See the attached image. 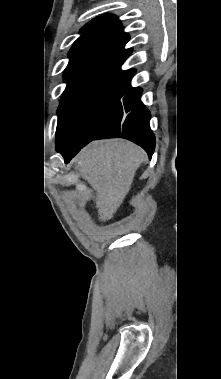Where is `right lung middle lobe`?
Segmentation results:
<instances>
[{
	"mask_svg": "<svg viewBox=\"0 0 221 379\" xmlns=\"http://www.w3.org/2000/svg\"><path fill=\"white\" fill-rule=\"evenodd\" d=\"M123 81H94L62 94L58 108L56 140L92 139L112 116L121 97Z\"/></svg>",
	"mask_w": 221,
	"mask_h": 379,
	"instance_id": "1",
	"label": "right lung middle lobe"
}]
</instances>
